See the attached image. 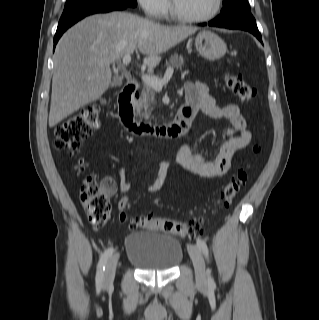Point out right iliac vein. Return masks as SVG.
I'll return each mask as SVG.
<instances>
[{
	"label": "right iliac vein",
	"instance_id": "63e3f726",
	"mask_svg": "<svg viewBox=\"0 0 319 320\" xmlns=\"http://www.w3.org/2000/svg\"><path fill=\"white\" fill-rule=\"evenodd\" d=\"M118 260H119V253H115L106 263L105 279H104V284L106 287L111 286L113 283Z\"/></svg>",
	"mask_w": 319,
	"mask_h": 320
}]
</instances>
